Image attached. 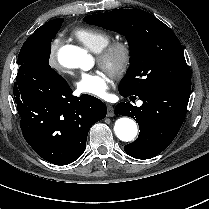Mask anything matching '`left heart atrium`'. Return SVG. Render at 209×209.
<instances>
[{"instance_id":"1","label":"left heart atrium","mask_w":209,"mask_h":209,"mask_svg":"<svg viewBox=\"0 0 209 209\" xmlns=\"http://www.w3.org/2000/svg\"><path fill=\"white\" fill-rule=\"evenodd\" d=\"M110 80L102 73L84 72L75 81V88L78 93L96 98H104Z\"/></svg>"}]
</instances>
